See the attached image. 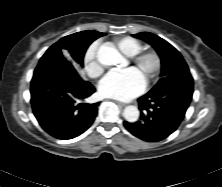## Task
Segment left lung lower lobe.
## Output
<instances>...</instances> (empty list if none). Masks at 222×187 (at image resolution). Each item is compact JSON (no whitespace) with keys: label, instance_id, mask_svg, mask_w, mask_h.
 Returning <instances> with one entry per match:
<instances>
[{"label":"left lung lower lobe","instance_id":"1","mask_svg":"<svg viewBox=\"0 0 222 187\" xmlns=\"http://www.w3.org/2000/svg\"><path fill=\"white\" fill-rule=\"evenodd\" d=\"M182 91L175 98L161 96L163 93H147L138 99L141 119L124 126L136 137L157 142L172 134L183 120L192 100L193 80L182 83Z\"/></svg>","mask_w":222,"mask_h":187}]
</instances>
